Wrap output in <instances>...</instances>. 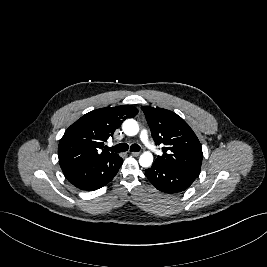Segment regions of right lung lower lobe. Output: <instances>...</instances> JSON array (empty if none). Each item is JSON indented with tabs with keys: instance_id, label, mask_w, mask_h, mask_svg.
Instances as JSON below:
<instances>
[{
	"instance_id": "obj_1",
	"label": "right lung lower lobe",
	"mask_w": 267,
	"mask_h": 267,
	"mask_svg": "<svg viewBox=\"0 0 267 267\" xmlns=\"http://www.w3.org/2000/svg\"><path fill=\"white\" fill-rule=\"evenodd\" d=\"M123 159L117 154L63 170L65 177L82 190H96L109 183L117 174Z\"/></svg>"
}]
</instances>
